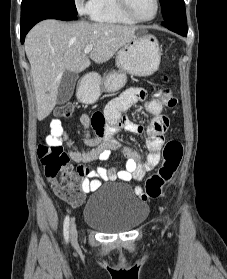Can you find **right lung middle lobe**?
Listing matches in <instances>:
<instances>
[{
	"mask_svg": "<svg viewBox=\"0 0 227 279\" xmlns=\"http://www.w3.org/2000/svg\"><path fill=\"white\" fill-rule=\"evenodd\" d=\"M36 1H38V0H22L21 11H24L25 9H27L31 4H33ZM49 1L59 4L64 9L77 14V9H76L74 0H49Z\"/></svg>",
	"mask_w": 227,
	"mask_h": 279,
	"instance_id": "obj_1",
	"label": "right lung middle lobe"
}]
</instances>
